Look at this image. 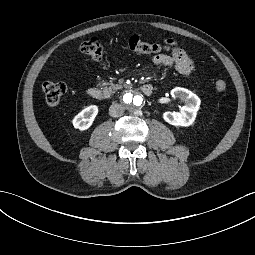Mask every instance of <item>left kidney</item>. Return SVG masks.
<instances>
[{
  "label": "left kidney",
  "mask_w": 255,
  "mask_h": 255,
  "mask_svg": "<svg viewBox=\"0 0 255 255\" xmlns=\"http://www.w3.org/2000/svg\"><path fill=\"white\" fill-rule=\"evenodd\" d=\"M173 98H179L185 102L180 112H165L163 119L175 126H190L196 118L197 111L200 107V98L188 89L176 87L171 90Z\"/></svg>",
  "instance_id": "left-kidney-1"
}]
</instances>
